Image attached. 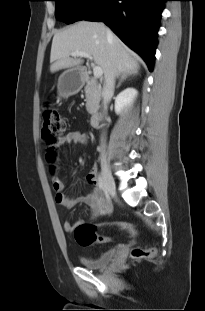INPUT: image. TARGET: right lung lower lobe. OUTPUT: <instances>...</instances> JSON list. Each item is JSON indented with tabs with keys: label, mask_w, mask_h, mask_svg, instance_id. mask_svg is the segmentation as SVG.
Wrapping results in <instances>:
<instances>
[{
	"label": "right lung lower lobe",
	"mask_w": 205,
	"mask_h": 311,
	"mask_svg": "<svg viewBox=\"0 0 205 311\" xmlns=\"http://www.w3.org/2000/svg\"><path fill=\"white\" fill-rule=\"evenodd\" d=\"M166 0H103L83 20L103 21L153 70L159 19Z\"/></svg>",
	"instance_id": "obj_1"
}]
</instances>
